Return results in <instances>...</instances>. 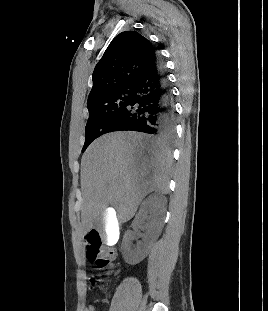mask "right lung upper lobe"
I'll use <instances>...</instances> for the list:
<instances>
[{"label": "right lung upper lobe", "mask_w": 268, "mask_h": 311, "mask_svg": "<svg viewBox=\"0 0 268 311\" xmlns=\"http://www.w3.org/2000/svg\"><path fill=\"white\" fill-rule=\"evenodd\" d=\"M156 56L151 42L138 32L118 34L95 66L87 106L116 90L133 86L154 65Z\"/></svg>", "instance_id": "obj_1"}]
</instances>
